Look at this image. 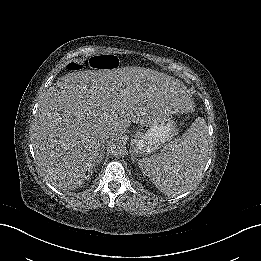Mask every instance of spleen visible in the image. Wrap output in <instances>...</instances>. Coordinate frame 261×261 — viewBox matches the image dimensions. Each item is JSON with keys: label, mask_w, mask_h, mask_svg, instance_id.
<instances>
[{"label": "spleen", "mask_w": 261, "mask_h": 261, "mask_svg": "<svg viewBox=\"0 0 261 261\" xmlns=\"http://www.w3.org/2000/svg\"><path fill=\"white\" fill-rule=\"evenodd\" d=\"M198 137V134L188 132L183 140L139 161L140 168L153 179L161 192L172 194L179 188L182 178L203 163L202 144Z\"/></svg>", "instance_id": "obj_1"}]
</instances>
